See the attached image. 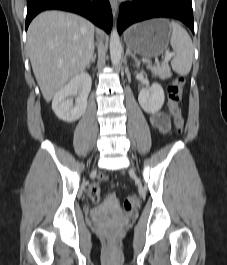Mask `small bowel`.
Here are the masks:
<instances>
[{
  "label": "small bowel",
  "instance_id": "1",
  "mask_svg": "<svg viewBox=\"0 0 227 265\" xmlns=\"http://www.w3.org/2000/svg\"><path fill=\"white\" fill-rule=\"evenodd\" d=\"M150 123L156 128L161 134L168 133L170 129V122L168 116L163 112H157L150 115Z\"/></svg>",
  "mask_w": 227,
  "mask_h": 265
}]
</instances>
